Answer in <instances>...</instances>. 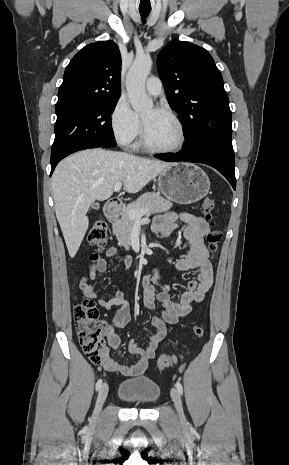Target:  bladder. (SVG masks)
I'll list each match as a JSON object with an SVG mask.
<instances>
[{"instance_id": "obj_1", "label": "bladder", "mask_w": 289, "mask_h": 465, "mask_svg": "<svg viewBox=\"0 0 289 465\" xmlns=\"http://www.w3.org/2000/svg\"><path fill=\"white\" fill-rule=\"evenodd\" d=\"M118 398L128 404L137 406H151L160 397V387L142 377L126 379L118 387Z\"/></svg>"}]
</instances>
